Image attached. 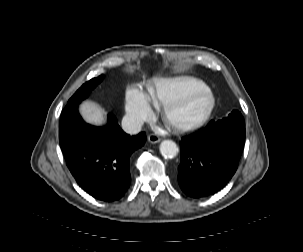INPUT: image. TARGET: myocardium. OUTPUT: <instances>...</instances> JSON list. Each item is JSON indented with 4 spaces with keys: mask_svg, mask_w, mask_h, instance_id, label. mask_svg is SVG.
I'll return each mask as SVG.
<instances>
[{
    "mask_svg": "<svg viewBox=\"0 0 303 252\" xmlns=\"http://www.w3.org/2000/svg\"><path fill=\"white\" fill-rule=\"evenodd\" d=\"M195 101L201 102V109L196 116L186 120H177L175 118V114L178 110L192 104ZM214 104L215 98L211 89L207 86L201 85L184 99L165 105L164 117L168 124L174 129L182 131L193 130L200 127L207 121L212 113Z\"/></svg>",
    "mask_w": 303,
    "mask_h": 252,
    "instance_id": "obj_1",
    "label": "myocardium"
}]
</instances>
